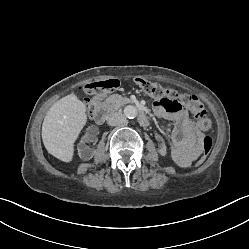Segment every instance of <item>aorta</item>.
<instances>
[{"label":"aorta","mask_w":249,"mask_h":249,"mask_svg":"<svg viewBox=\"0 0 249 249\" xmlns=\"http://www.w3.org/2000/svg\"><path fill=\"white\" fill-rule=\"evenodd\" d=\"M124 115L129 118V119H133L137 116V109L135 106L132 105H128L124 108Z\"/></svg>","instance_id":"aorta-1"}]
</instances>
